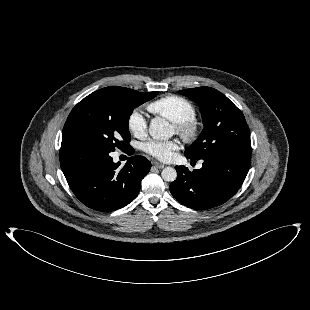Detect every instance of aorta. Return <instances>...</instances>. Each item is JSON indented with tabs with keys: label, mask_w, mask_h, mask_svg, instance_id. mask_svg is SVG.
<instances>
[{
	"label": "aorta",
	"mask_w": 310,
	"mask_h": 310,
	"mask_svg": "<svg viewBox=\"0 0 310 310\" xmlns=\"http://www.w3.org/2000/svg\"><path fill=\"white\" fill-rule=\"evenodd\" d=\"M149 134L153 139L163 140L171 138L173 136V130L168 121L164 118L156 117L150 122ZM161 175L163 180L173 182L177 177V172L172 167H165L162 170Z\"/></svg>",
	"instance_id": "aorta-1"
}]
</instances>
